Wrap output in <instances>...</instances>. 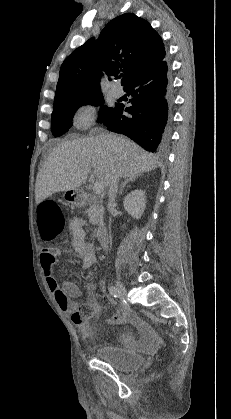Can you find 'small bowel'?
<instances>
[{
  "label": "small bowel",
  "instance_id": "small-bowel-1",
  "mask_svg": "<svg viewBox=\"0 0 231 419\" xmlns=\"http://www.w3.org/2000/svg\"><path fill=\"white\" fill-rule=\"evenodd\" d=\"M69 227L72 234V253L81 258V267L88 269L96 262V255L93 244L86 239V223L81 217H74ZM63 252L64 250L59 247L43 249L40 253L42 270L58 307L63 312L71 314L73 322L85 338H91L92 331L88 324L91 317L82 319L78 313L80 305L76 300L81 296L79 286L69 280L63 281L60 285L54 275V265ZM93 290L94 288L90 287V291ZM107 298L109 299V297ZM91 304L96 308L97 313L99 306L95 303ZM127 321H132L133 326L140 333L141 339L137 341L131 333L126 332L122 335L123 343L129 348L138 347L141 350H149L153 342V335L142 323L135 320V316L131 312L120 309L114 317L108 320L110 324H122Z\"/></svg>",
  "mask_w": 231,
  "mask_h": 419
}]
</instances>
